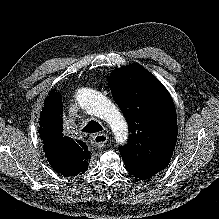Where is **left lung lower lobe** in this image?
<instances>
[{
	"label": "left lung lower lobe",
	"instance_id": "0a47b994",
	"mask_svg": "<svg viewBox=\"0 0 219 219\" xmlns=\"http://www.w3.org/2000/svg\"><path fill=\"white\" fill-rule=\"evenodd\" d=\"M125 164V163H124ZM125 167L128 172H130L135 177L140 179H149L160 170L166 167H159V166H135V165H127Z\"/></svg>",
	"mask_w": 219,
	"mask_h": 219
}]
</instances>
